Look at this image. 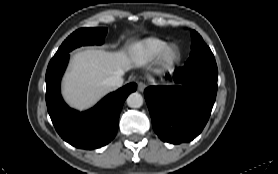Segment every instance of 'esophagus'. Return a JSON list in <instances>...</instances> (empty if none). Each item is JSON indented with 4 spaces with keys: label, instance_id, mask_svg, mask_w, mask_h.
Listing matches in <instances>:
<instances>
[{
    "label": "esophagus",
    "instance_id": "obj_1",
    "mask_svg": "<svg viewBox=\"0 0 278 174\" xmlns=\"http://www.w3.org/2000/svg\"><path fill=\"white\" fill-rule=\"evenodd\" d=\"M146 88V84L143 82L138 83L137 89L139 92H143Z\"/></svg>",
    "mask_w": 278,
    "mask_h": 174
}]
</instances>
